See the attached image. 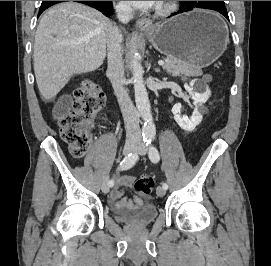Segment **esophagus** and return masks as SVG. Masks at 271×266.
I'll use <instances>...</instances> for the list:
<instances>
[{"instance_id": "34e87169", "label": "esophagus", "mask_w": 271, "mask_h": 266, "mask_svg": "<svg viewBox=\"0 0 271 266\" xmlns=\"http://www.w3.org/2000/svg\"><path fill=\"white\" fill-rule=\"evenodd\" d=\"M137 27L140 31L148 32L151 31L153 28V23L150 19L142 18L137 21Z\"/></svg>"}]
</instances>
